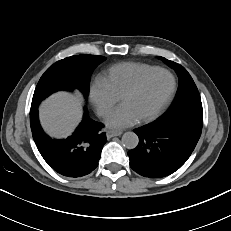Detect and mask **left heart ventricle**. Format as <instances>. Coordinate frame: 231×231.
Here are the masks:
<instances>
[{
	"mask_svg": "<svg viewBox=\"0 0 231 231\" xmlns=\"http://www.w3.org/2000/svg\"><path fill=\"white\" fill-rule=\"evenodd\" d=\"M172 88V78L165 72L150 77L134 94L123 100L137 115L138 119L153 113L165 100Z\"/></svg>",
	"mask_w": 231,
	"mask_h": 231,
	"instance_id": "obj_1",
	"label": "left heart ventricle"
}]
</instances>
